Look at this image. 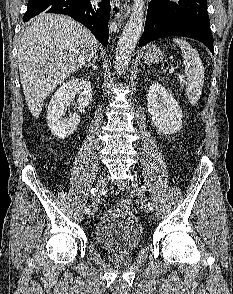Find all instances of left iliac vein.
I'll return each mask as SVG.
<instances>
[{"label": "left iliac vein", "mask_w": 233, "mask_h": 294, "mask_svg": "<svg viewBox=\"0 0 233 294\" xmlns=\"http://www.w3.org/2000/svg\"><path fill=\"white\" fill-rule=\"evenodd\" d=\"M131 185H132V188H133L134 193L139 198V206H140V209H142L143 212L150 211L148 209V207H147V204H146V197H143L142 192L139 189V186H138L137 181L136 180H133ZM118 187H119V189H121L123 191L129 190V185L126 182H124V181H120L118 183Z\"/></svg>", "instance_id": "obj_1"}]
</instances>
